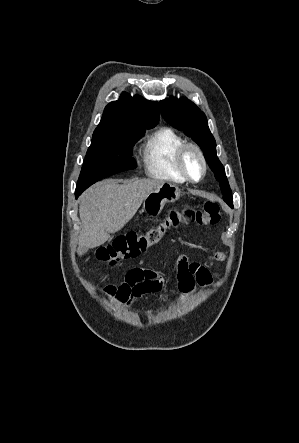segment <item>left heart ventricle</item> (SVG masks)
<instances>
[{
	"label": "left heart ventricle",
	"instance_id": "1",
	"mask_svg": "<svg viewBox=\"0 0 299 443\" xmlns=\"http://www.w3.org/2000/svg\"><path fill=\"white\" fill-rule=\"evenodd\" d=\"M186 166L193 178L199 177L201 173V163L195 153L190 152L186 158Z\"/></svg>",
	"mask_w": 299,
	"mask_h": 443
}]
</instances>
